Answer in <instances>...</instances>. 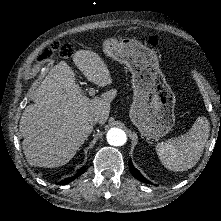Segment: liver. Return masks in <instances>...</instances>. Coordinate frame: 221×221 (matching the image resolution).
Returning <instances> with one entry per match:
<instances>
[{"label": "liver", "instance_id": "liver-1", "mask_svg": "<svg viewBox=\"0 0 221 221\" xmlns=\"http://www.w3.org/2000/svg\"><path fill=\"white\" fill-rule=\"evenodd\" d=\"M73 61L88 81L105 87L112 83L107 65L95 52L79 50ZM115 94L89 99L81 94L75 73L61 61L35 90L33 104L26 106L19 131L23 152L31 166L54 168L68 163L92 133V113L106 123Z\"/></svg>", "mask_w": 221, "mask_h": 221}]
</instances>
